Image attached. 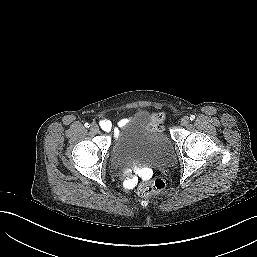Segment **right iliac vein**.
<instances>
[{"label":"right iliac vein","mask_w":257,"mask_h":257,"mask_svg":"<svg viewBox=\"0 0 257 257\" xmlns=\"http://www.w3.org/2000/svg\"><path fill=\"white\" fill-rule=\"evenodd\" d=\"M90 130L93 132V133H98L99 132V127L97 124L93 123L91 124L90 126Z\"/></svg>","instance_id":"right-iliac-vein-1"}]
</instances>
